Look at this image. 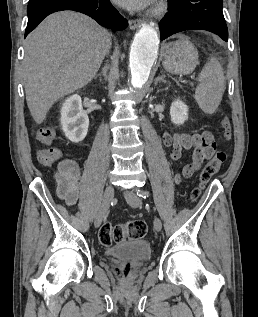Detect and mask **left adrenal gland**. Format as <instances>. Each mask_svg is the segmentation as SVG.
Returning a JSON list of instances; mask_svg holds the SVG:
<instances>
[{
  "label": "left adrenal gland",
  "mask_w": 258,
  "mask_h": 317,
  "mask_svg": "<svg viewBox=\"0 0 258 317\" xmlns=\"http://www.w3.org/2000/svg\"><path fill=\"white\" fill-rule=\"evenodd\" d=\"M159 80H161V82H166L164 74H161V76H157V78H155L154 84H158Z\"/></svg>",
  "instance_id": "1"
}]
</instances>
